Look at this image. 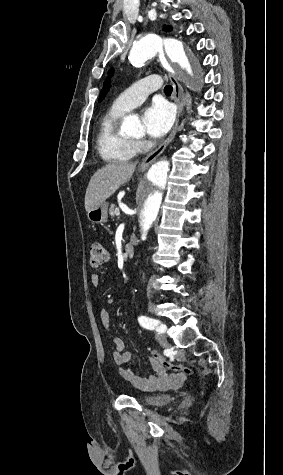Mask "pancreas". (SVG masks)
<instances>
[{
  "mask_svg": "<svg viewBox=\"0 0 283 475\" xmlns=\"http://www.w3.org/2000/svg\"><path fill=\"white\" fill-rule=\"evenodd\" d=\"M115 210H116V208H115L114 204H112V206H111V208H110V210H109V214H110L111 218H114V216H115Z\"/></svg>",
  "mask_w": 283,
  "mask_h": 475,
  "instance_id": "1",
  "label": "pancreas"
}]
</instances>
